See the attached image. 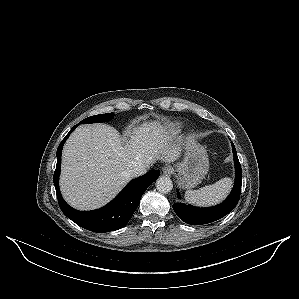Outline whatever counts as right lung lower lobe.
<instances>
[{
    "instance_id": "obj_1",
    "label": "right lung lower lobe",
    "mask_w": 299,
    "mask_h": 299,
    "mask_svg": "<svg viewBox=\"0 0 299 299\" xmlns=\"http://www.w3.org/2000/svg\"><path fill=\"white\" fill-rule=\"evenodd\" d=\"M75 125L65 136L57 149V164L53 182L56 189L59 206L62 212L77 225L98 233L110 232L124 227L140 204V199L149 185L154 182L160 172L150 171L145 175L132 180L119 194L106 206L93 211H78L70 207L62 198L58 179L61 167L62 148L70 133L75 130Z\"/></svg>"
}]
</instances>
